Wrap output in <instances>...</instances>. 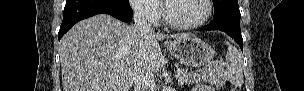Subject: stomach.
<instances>
[{
	"label": "stomach",
	"mask_w": 304,
	"mask_h": 91,
	"mask_svg": "<svg viewBox=\"0 0 304 91\" xmlns=\"http://www.w3.org/2000/svg\"><path fill=\"white\" fill-rule=\"evenodd\" d=\"M168 50L179 62L192 67H201L211 62L214 49L194 36L174 39L168 45Z\"/></svg>",
	"instance_id": "stomach-1"
}]
</instances>
